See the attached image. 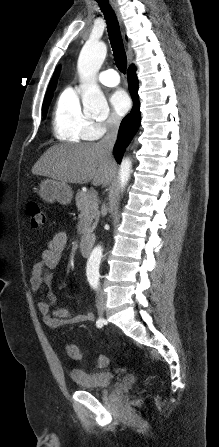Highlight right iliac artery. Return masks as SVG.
<instances>
[{"instance_id":"right-iliac-artery-1","label":"right iliac artery","mask_w":219,"mask_h":447,"mask_svg":"<svg viewBox=\"0 0 219 447\" xmlns=\"http://www.w3.org/2000/svg\"><path fill=\"white\" fill-rule=\"evenodd\" d=\"M102 323H103V320H102L101 318L98 319L97 322H96L97 327H98V328L101 327V326H102Z\"/></svg>"}]
</instances>
